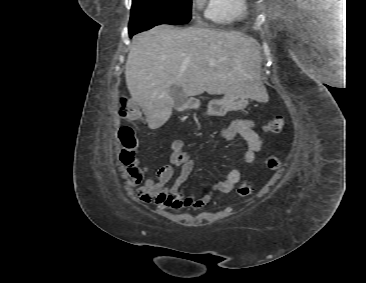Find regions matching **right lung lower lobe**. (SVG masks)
Returning <instances> with one entry per match:
<instances>
[{
  "label": "right lung lower lobe",
  "instance_id": "98d812e1",
  "mask_svg": "<svg viewBox=\"0 0 366 283\" xmlns=\"http://www.w3.org/2000/svg\"><path fill=\"white\" fill-rule=\"evenodd\" d=\"M134 34H135V33H133V32H132V33H130V32H129V36H130V38H131Z\"/></svg>",
  "mask_w": 366,
  "mask_h": 283
}]
</instances>
